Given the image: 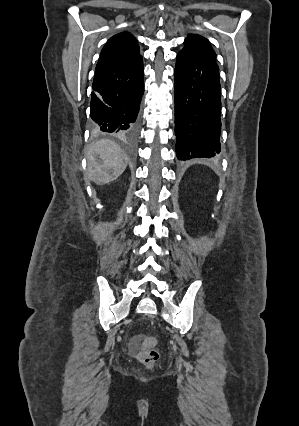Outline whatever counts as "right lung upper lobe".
Listing matches in <instances>:
<instances>
[{
  "mask_svg": "<svg viewBox=\"0 0 299 426\" xmlns=\"http://www.w3.org/2000/svg\"><path fill=\"white\" fill-rule=\"evenodd\" d=\"M140 56L139 45L135 37L127 32L112 36L101 51L96 68L130 61Z\"/></svg>",
  "mask_w": 299,
  "mask_h": 426,
  "instance_id": "cb5924a9",
  "label": "right lung upper lobe"
}]
</instances>
